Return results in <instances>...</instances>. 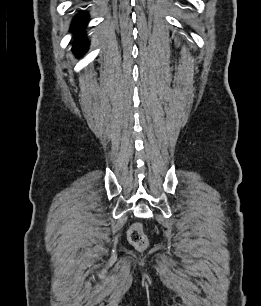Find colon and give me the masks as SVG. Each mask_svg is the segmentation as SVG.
I'll list each match as a JSON object with an SVG mask.
<instances>
[{"label":"colon","mask_w":261,"mask_h":306,"mask_svg":"<svg viewBox=\"0 0 261 306\" xmlns=\"http://www.w3.org/2000/svg\"><path fill=\"white\" fill-rule=\"evenodd\" d=\"M130 243L138 248L143 249L147 245V238L140 224H133L128 231Z\"/></svg>","instance_id":"1"}]
</instances>
